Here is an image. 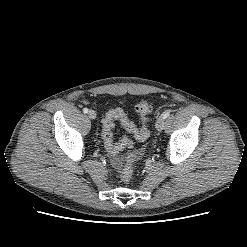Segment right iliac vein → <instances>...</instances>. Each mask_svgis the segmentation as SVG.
I'll use <instances>...</instances> for the list:
<instances>
[{
  "instance_id": "1",
  "label": "right iliac vein",
  "mask_w": 247,
  "mask_h": 247,
  "mask_svg": "<svg viewBox=\"0 0 247 247\" xmlns=\"http://www.w3.org/2000/svg\"><path fill=\"white\" fill-rule=\"evenodd\" d=\"M87 115L90 119H95L96 118V112L94 110H89L87 112Z\"/></svg>"
}]
</instances>
